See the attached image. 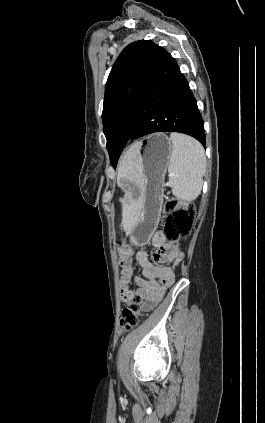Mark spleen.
<instances>
[{
    "label": "spleen",
    "mask_w": 265,
    "mask_h": 423,
    "mask_svg": "<svg viewBox=\"0 0 265 423\" xmlns=\"http://www.w3.org/2000/svg\"><path fill=\"white\" fill-rule=\"evenodd\" d=\"M172 153L168 166L172 194L181 201L195 200L202 189L206 157L202 145L180 133H171Z\"/></svg>",
    "instance_id": "3e777b00"
}]
</instances>
